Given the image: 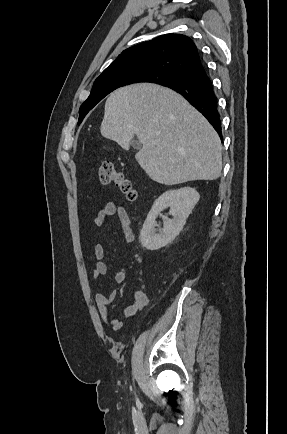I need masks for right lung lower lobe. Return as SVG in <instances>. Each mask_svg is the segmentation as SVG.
<instances>
[{"instance_id": "1", "label": "right lung lower lobe", "mask_w": 287, "mask_h": 434, "mask_svg": "<svg viewBox=\"0 0 287 434\" xmlns=\"http://www.w3.org/2000/svg\"><path fill=\"white\" fill-rule=\"evenodd\" d=\"M167 87L180 93L210 122L222 140L220 115L213 85L201 64L185 72L179 80Z\"/></svg>"}]
</instances>
